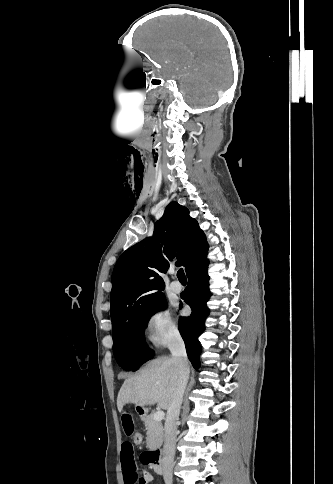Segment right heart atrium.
Here are the masks:
<instances>
[{
    "mask_svg": "<svg viewBox=\"0 0 333 484\" xmlns=\"http://www.w3.org/2000/svg\"><path fill=\"white\" fill-rule=\"evenodd\" d=\"M145 327L149 342L155 346H165L178 335L176 322L166 306L154 309L148 315Z\"/></svg>",
    "mask_w": 333,
    "mask_h": 484,
    "instance_id": "obj_1",
    "label": "right heart atrium"
}]
</instances>
